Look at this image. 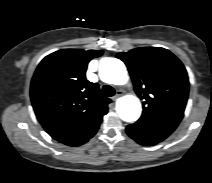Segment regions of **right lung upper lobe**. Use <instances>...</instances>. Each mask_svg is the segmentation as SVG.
I'll use <instances>...</instances> for the list:
<instances>
[{
  "label": "right lung upper lobe",
  "instance_id": "right-lung-upper-lobe-1",
  "mask_svg": "<svg viewBox=\"0 0 212 183\" xmlns=\"http://www.w3.org/2000/svg\"><path fill=\"white\" fill-rule=\"evenodd\" d=\"M102 50L62 49L46 56L31 82L35 114L47 133L68 146L87 142L111 100L85 77L88 62Z\"/></svg>",
  "mask_w": 212,
  "mask_h": 183
}]
</instances>
